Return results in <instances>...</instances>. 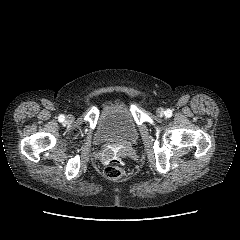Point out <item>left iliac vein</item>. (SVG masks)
<instances>
[{"label": "left iliac vein", "mask_w": 240, "mask_h": 240, "mask_svg": "<svg viewBox=\"0 0 240 240\" xmlns=\"http://www.w3.org/2000/svg\"><path fill=\"white\" fill-rule=\"evenodd\" d=\"M156 113H157V115H158L159 117H163L164 114H165V110H164L163 108H158V109L156 110Z\"/></svg>", "instance_id": "4c4485c4"}]
</instances>
